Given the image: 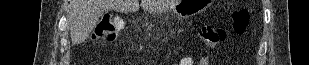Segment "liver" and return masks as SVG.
<instances>
[{"label":"liver","instance_id":"liver-1","mask_svg":"<svg viewBox=\"0 0 309 65\" xmlns=\"http://www.w3.org/2000/svg\"><path fill=\"white\" fill-rule=\"evenodd\" d=\"M176 5L171 0H141L140 6L146 11L160 13ZM135 12L139 0H73L70 5L68 22L73 45L83 43L96 26L103 12Z\"/></svg>","mask_w":309,"mask_h":65}]
</instances>
